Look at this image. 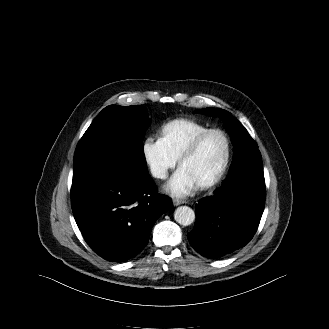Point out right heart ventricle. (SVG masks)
Instances as JSON below:
<instances>
[{"label":"right heart ventricle","mask_w":329,"mask_h":329,"mask_svg":"<svg viewBox=\"0 0 329 329\" xmlns=\"http://www.w3.org/2000/svg\"><path fill=\"white\" fill-rule=\"evenodd\" d=\"M208 127L196 121L189 119L172 120L160 129V139L178 159L187 145L200 133L207 130Z\"/></svg>","instance_id":"obj_1"}]
</instances>
